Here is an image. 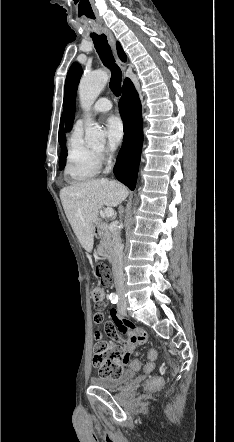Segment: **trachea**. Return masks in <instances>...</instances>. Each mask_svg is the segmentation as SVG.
I'll list each match as a JSON object with an SVG mask.
<instances>
[{
    "mask_svg": "<svg viewBox=\"0 0 234 442\" xmlns=\"http://www.w3.org/2000/svg\"><path fill=\"white\" fill-rule=\"evenodd\" d=\"M96 51L103 62L104 66L110 69V89L118 97L121 95V77L122 73L118 65L115 63L111 47L108 44L107 36L101 34L100 36H92Z\"/></svg>",
    "mask_w": 234,
    "mask_h": 442,
    "instance_id": "obj_1",
    "label": "trachea"
}]
</instances>
